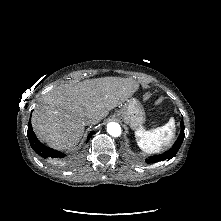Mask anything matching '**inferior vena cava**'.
<instances>
[{
  "mask_svg": "<svg viewBox=\"0 0 221 221\" xmlns=\"http://www.w3.org/2000/svg\"><path fill=\"white\" fill-rule=\"evenodd\" d=\"M92 122H91V120L90 119H85L84 120V124L85 125H89V124H91Z\"/></svg>",
  "mask_w": 221,
  "mask_h": 221,
  "instance_id": "inferior-vena-cava-1",
  "label": "inferior vena cava"
}]
</instances>
